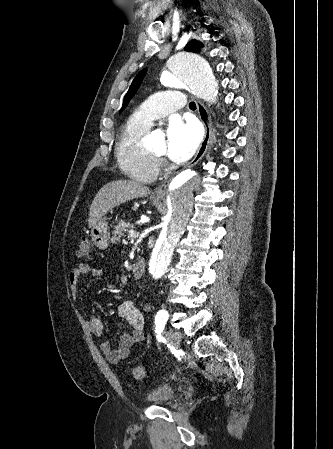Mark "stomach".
<instances>
[{"label":"stomach","instance_id":"obj_1","mask_svg":"<svg viewBox=\"0 0 333 449\" xmlns=\"http://www.w3.org/2000/svg\"><path fill=\"white\" fill-rule=\"evenodd\" d=\"M159 198H157L158 200ZM109 230L106 218L102 217L96 224L91 228V237L94 245L100 250H104L109 245Z\"/></svg>","mask_w":333,"mask_h":449}]
</instances>
